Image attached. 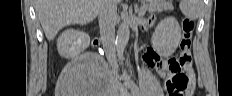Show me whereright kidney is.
<instances>
[{"mask_svg":"<svg viewBox=\"0 0 232 96\" xmlns=\"http://www.w3.org/2000/svg\"><path fill=\"white\" fill-rule=\"evenodd\" d=\"M90 38L86 33L68 29L57 40V49L64 58L78 57L89 45Z\"/></svg>","mask_w":232,"mask_h":96,"instance_id":"obj_1","label":"right kidney"}]
</instances>
